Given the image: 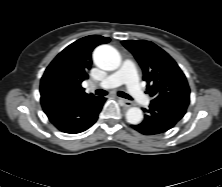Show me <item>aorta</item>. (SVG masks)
Listing matches in <instances>:
<instances>
[{
  "mask_svg": "<svg viewBox=\"0 0 222 187\" xmlns=\"http://www.w3.org/2000/svg\"><path fill=\"white\" fill-rule=\"evenodd\" d=\"M93 59L99 68L108 71L118 69L122 61L120 53L107 44L100 45L95 49ZM126 119L130 124H140L143 120V112L138 107H131L126 112Z\"/></svg>",
  "mask_w": 222,
  "mask_h": 187,
  "instance_id": "obj_1",
  "label": "aorta"
}]
</instances>
